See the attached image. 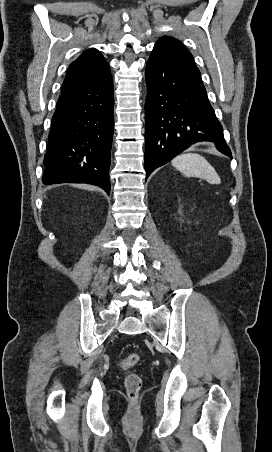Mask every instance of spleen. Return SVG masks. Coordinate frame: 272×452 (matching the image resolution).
Masks as SVG:
<instances>
[{"mask_svg": "<svg viewBox=\"0 0 272 452\" xmlns=\"http://www.w3.org/2000/svg\"><path fill=\"white\" fill-rule=\"evenodd\" d=\"M172 166L187 177L202 178L211 184L221 183V179L215 169L200 154H180L172 160Z\"/></svg>", "mask_w": 272, "mask_h": 452, "instance_id": "spleen-1", "label": "spleen"}]
</instances>
